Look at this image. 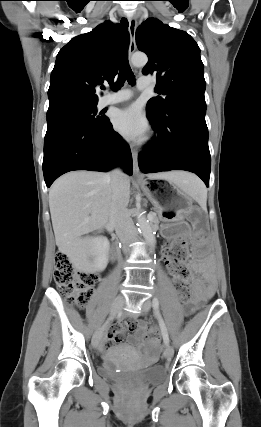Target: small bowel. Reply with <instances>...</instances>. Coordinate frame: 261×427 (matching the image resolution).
Returning a JSON list of instances; mask_svg holds the SVG:
<instances>
[{"mask_svg": "<svg viewBox=\"0 0 261 427\" xmlns=\"http://www.w3.org/2000/svg\"><path fill=\"white\" fill-rule=\"evenodd\" d=\"M165 251H164V256H165L166 264L168 266ZM198 269H200V267H198ZM205 279L207 283L205 287L199 282L195 283L193 287L194 299L185 307V311L187 314H191L192 312H194L199 306V304L202 301L206 300L208 297H210L214 292L215 287H214L213 280L209 276H206ZM140 325H141V322L139 319H130V321L128 322H120L118 326L108 336L107 340L104 343V346L109 348L119 343L121 341V336H123L128 331L129 334H137V335H131L128 337V343L132 347L134 354H136L135 349L141 346L140 337L138 334ZM158 343H159V338L156 337L153 339H149V341L145 344L146 352L151 360L157 359V356L159 353Z\"/></svg>", "mask_w": 261, "mask_h": 427, "instance_id": "small-bowel-1", "label": "small bowel"}]
</instances>
